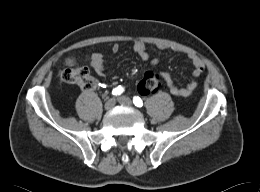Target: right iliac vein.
Segmentation results:
<instances>
[{
  "label": "right iliac vein",
  "instance_id": "1",
  "mask_svg": "<svg viewBox=\"0 0 260 192\" xmlns=\"http://www.w3.org/2000/svg\"><path fill=\"white\" fill-rule=\"evenodd\" d=\"M115 104H116L115 98H111L105 103L104 107L106 110H111L115 106Z\"/></svg>",
  "mask_w": 260,
  "mask_h": 192
}]
</instances>
